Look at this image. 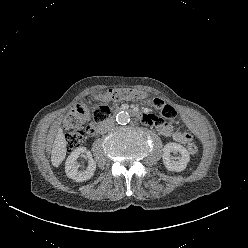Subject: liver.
Listing matches in <instances>:
<instances>
[{
	"instance_id": "obj_1",
	"label": "liver",
	"mask_w": 248,
	"mask_h": 248,
	"mask_svg": "<svg viewBox=\"0 0 248 248\" xmlns=\"http://www.w3.org/2000/svg\"><path fill=\"white\" fill-rule=\"evenodd\" d=\"M66 140L61 129H58L51 150V162L54 167H58L66 157Z\"/></svg>"
}]
</instances>
